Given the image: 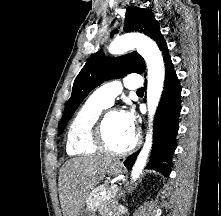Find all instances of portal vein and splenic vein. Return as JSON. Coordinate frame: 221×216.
Masks as SVG:
<instances>
[{
    "label": "portal vein and splenic vein",
    "mask_w": 221,
    "mask_h": 216,
    "mask_svg": "<svg viewBox=\"0 0 221 216\" xmlns=\"http://www.w3.org/2000/svg\"><path fill=\"white\" fill-rule=\"evenodd\" d=\"M115 188H117V186H116V185L111 186V188H110V189H115ZM110 189H109V190H110ZM109 190H107V192H108ZM107 192H106V191H105V192H102V193H101V195H105V194H107Z\"/></svg>",
    "instance_id": "18ae733b"
}]
</instances>
